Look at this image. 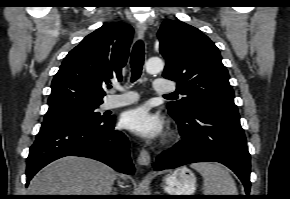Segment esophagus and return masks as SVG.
Returning <instances> with one entry per match:
<instances>
[{
  "label": "esophagus",
  "instance_id": "obj_1",
  "mask_svg": "<svg viewBox=\"0 0 290 199\" xmlns=\"http://www.w3.org/2000/svg\"><path fill=\"white\" fill-rule=\"evenodd\" d=\"M136 29H137V33L139 35L140 38H143L145 36L146 33V26L144 23L138 22L136 24ZM137 162L139 165L142 166H149L150 162H151V158H150V154L147 150L142 149L140 151V154L137 158Z\"/></svg>",
  "mask_w": 290,
  "mask_h": 199
}]
</instances>
